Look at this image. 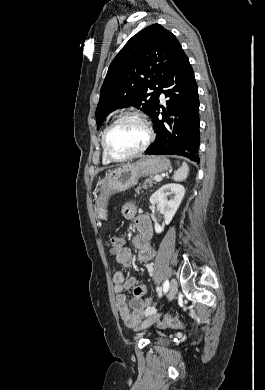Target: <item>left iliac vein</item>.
I'll list each match as a JSON object with an SVG mask.
<instances>
[{
  "label": "left iliac vein",
  "instance_id": "1",
  "mask_svg": "<svg viewBox=\"0 0 265 390\" xmlns=\"http://www.w3.org/2000/svg\"><path fill=\"white\" fill-rule=\"evenodd\" d=\"M177 291H178V282L175 278H173L170 282V285H169V292H168V298L169 300H172L174 299V297L176 296L177 294ZM160 317V315H156L155 317L153 318H150L146 321H144L141 325V329L143 328H147L149 327L150 325H152L156 320H158Z\"/></svg>",
  "mask_w": 265,
  "mask_h": 390
}]
</instances>
